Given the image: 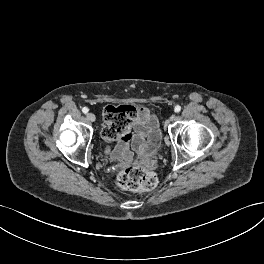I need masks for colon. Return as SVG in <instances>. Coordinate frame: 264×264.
Instances as JSON below:
<instances>
[{"instance_id":"obj_1","label":"colon","mask_w":264,"mask_h":264,"mask_svg":"<svg viewBox=\"0 0 264 264\" xmlns=\"http://www.w3.org/2000/svg\"><path fill=\"white\" fill-rule=\"evenodd\" d=\"M136 108L131 105L108 106L104 112L106 124L102 135L106 140H115L131 130ZM117 185L131 192H145L157 186L158 179L154 172L139 166L128 165L119 170Z\"/></svg>"}]
</instances>
